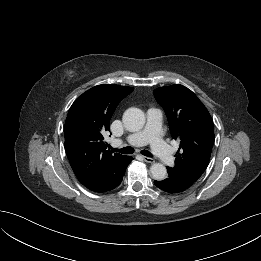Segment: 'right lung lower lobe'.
<instances>
[{
  "instance_id": "1",
  "label": "right lung lower lobe",
  "mask_w": 261,
  "mask_h": 261,
  "mask_svg": "<svg viewBox=\"0 0 261 261\" xmlns=\"http://www.w3.org/2000/svg\"><path fill=\"white\" fill-rule=\"evenodd\" d=\"M132 160H133V158L129 156L126 159V164H125V166L123 167L122 170H120L111 180H109L108 182L92 189V191L101 193V192H106V191H109V190L116 188L122 182L126 168Z\"/></svg>"
}]
</instances>
